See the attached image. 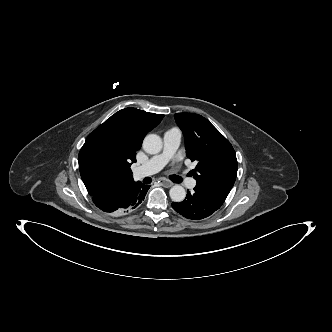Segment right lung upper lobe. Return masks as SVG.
I'll return each instance as SVG.
<instances>
[{
	"label": "right lung upper lobe",
	"instance_id": "obj_1",
	"mask_svg": "<svg viewBox=\"0 0 332 332\" xmlns=\"http://www.w3.org/2000/svg\"><path fill=\"white\" fill-rule=\"evenodd\" d=\"M163 117L164 115L148 113L136 108H125L116 112L104 122H116L123 129L126 139L125 156L127 163L126 167L113 178L98 176L79 164L81 178L89 195L116 189L124 184L134 182L130 166L136 162V152L141 148L143 138L147 132L156 127Z\"/></svg>",
	"mask_w": 332,
	"mask_h": 332
}]
</instances>
